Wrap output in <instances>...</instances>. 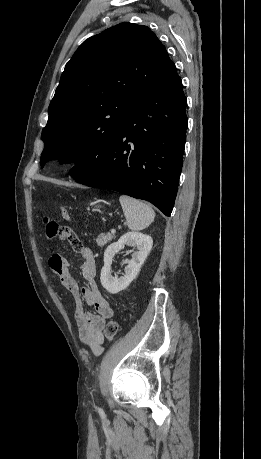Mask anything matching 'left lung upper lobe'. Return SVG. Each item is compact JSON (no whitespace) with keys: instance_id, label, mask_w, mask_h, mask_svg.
I'll use <instances>...</instances> for the list:
<instances>
[{"instance_id":"5c2ea615","label":"left lung upper lobe","mask_w":261,"mask_h":459,"mask_svg":"<svg viewBox=\"0 0 261 459\" xmlns=\"http://www.w3.org/2000/svg\"><path fill=\"white\" fill-rule=\"evenodd\" d=\"M173 67L147 26L120 23L83 42L49 105L41 167L59 159L75 162L71 176L93 172L135 108Z\"/></svg>"}]
</instances>
